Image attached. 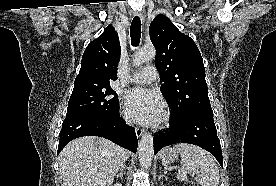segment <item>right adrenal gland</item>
<instances>
[{"label": "right adrenal gland", "instance_id": "obj_1", "mask_svg": "<svg viewBox=\"0 0 276 186\" xmlns=\"http://www.w3.org/2000/svg\"><path fill=\"white\" fill-rule=\"evenodd\" d=\"M125 170H126V167L124 165H122V167L120 168L119 173L116 175V178L123 177V174H124Z\"/></svg>", "mask_w": 276, "mask_h": 186}]
</instances>
